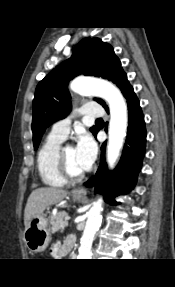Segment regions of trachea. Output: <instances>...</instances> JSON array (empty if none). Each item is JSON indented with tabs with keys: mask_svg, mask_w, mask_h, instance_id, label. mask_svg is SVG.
Returning <instances> with one entry per match:
<instances>
[{
	"mask_svg": "<svg viewBox=\"0 0 175 287\" xmlns=\"http://www.w3.org/2000/svg\"><path fill=\"white\" fill-rule=\"evenodd\" d=\"M96 122L102 123V122H104V121H103L102 118H99V119L96 120Z\"/></svg>",
	"mask_w": 175,
	"mask_h": 287,
	"instance_id": "trachea-1",
	"label": "trachea"
}]
</instances>
